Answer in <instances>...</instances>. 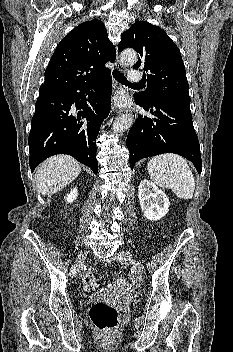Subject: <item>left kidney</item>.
I'll return each mask as SVG.
<instances>
[{
    "label": "left kidney",
    "mask_w": 233,
    "mask_h": 352,
    "mask_svg": "<svg viewBox=\"0 0 233 352\" xmlns=\"http://www.w3.org/2000/svg\"><path fill=\"white\" fill-rule=\"evenodd\" d=\"M138 198L143 215L151 221L159 220L169 211L170 202L164 191L147 179L140 182Z\"/></svg>",
    "instance_id": "obj_1"
}]
</instances>
